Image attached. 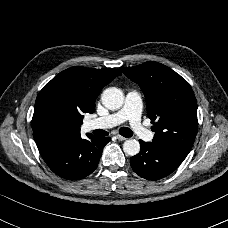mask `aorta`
<instances>
[{
	"label": "aorta",
	"mask_w": 228,
	"mask_h": 228,
	"mask_svg": "<svg viewBox=\"0 0 228 228\" xmlns=\"http://www.w3.org/2000/svg\"><path fill=\"white\" fill-rule=\"evenodd\" d=\"M102 104L109 110H118L124 103L123 92L116 88L110 87L103 91L101 95ZM123 150L126 154L134 156L140 151V144L137 140H126L123 144Z\"/></svg>",
	"instance_id": "1"
}]
</instances>
